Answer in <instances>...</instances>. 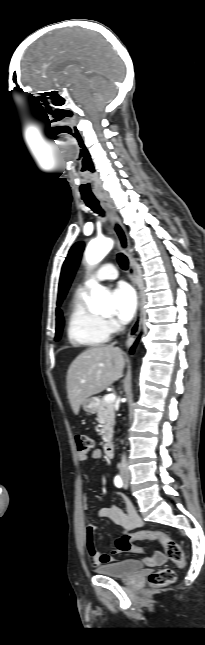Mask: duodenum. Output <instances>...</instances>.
Wrapping results in <instances>:
<instances>
[{"label":"duodenum","instance_id":"1","mask_svg":"<svg viewBox=\"0 0 205 645\" xmlns=\"http://www.w3.org/2000/svg\"><path fill=\"white\" fill-rule=\"evenodd\" d=\"M104 453L108 458H112L114 456V445L112 442H106L104 444Z\"/></svg>","mask_w":205,"mask_h":645}]
</instances>
